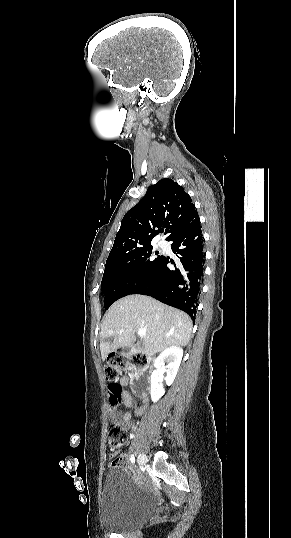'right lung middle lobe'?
I'll return each mask as SVG.
<instances>
[{"instance_id":"dd1d6c3e","label":"right lung middle lobe","mask_w":291,"mask_h":538,"mask_svg":"<svg viewBox=\"0 0 291 538\" xmlns=\"http://www.w3.org/2000/svg\"><path fill=\"white\" fill-rule=\"evenodd\" d=\"M156 255L149 246L107 259L101 282L105 309L143 283L162 258Z\"/></svg>"}]
</instances>
